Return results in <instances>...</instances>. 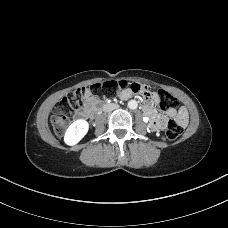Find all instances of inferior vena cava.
<instances>
[{
  "instance_id": "602c4592",
  "label": "inferior vena cava",
  "mask_w": 228,
  "mask_h": 228,
  "mask_svg": "<svg viewBox=\"0 0 228 228\" xmlns=\"http://www.w3.org/2000/svg\"><path fill=\"white\" fill-rule=\"evenodd\" d=\"M119 107L118 104L110 103V104H105L103 106V111L104 112H111Z\"/></svg>"
}]
</instances>
